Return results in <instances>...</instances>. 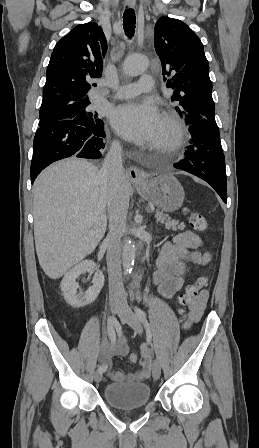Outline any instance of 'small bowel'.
<instances>
[{
  "mask_svg": "<svg viewBox=\"0 0 259 448\" xmlns=\"http://www.w3.org/2000/svg\"><path fill=\"white\" fill-rule=\"evenodd\" d=\"M202 239L192 232H183L172 241L166 242L157 258V271L154 273V284L164 298H171L179 292L184 284L183 275L187 271L186 262L206 265L211 261L212 255L208 250L202 251ZM209 294L202 291L190 308L189 319L184 328H189L202 317ZM129 352L124 338L114 342L104 340L101 346V361L110 367V359L114 356H126ZM141 369L127 376L121 370H110L108 376L112 381L141 382L150 377L151 359L146 347L141 353Z\"/></svg>",
  "mask_w": 259,
  "mask_h": 448,
  "instance_id": "1",
  "label": "small bowel"
}]
</instances>
